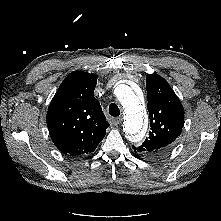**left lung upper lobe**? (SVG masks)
Returning <instances> with one entry per match:
<instances>
[{
    "instance_id": "left-lung-upper-lobe-1",
    "label": "left lung upper lobe",
    "mask_w": 221,
    "mask_h": 221,
    "mask_svg": "<svg viewBox=\"0 0 221 221\" xmlns=\"http://www.w3.org/2000/svg\"><path fill=\"white\" fill-rule=\"evenodd\" d=\"M146 89L151 131L135 153L158 158L171 149L184 126L183 106L167 81L157 74L147 75Z\"/></svg>"
}]
</instances>
